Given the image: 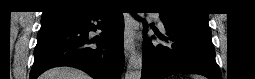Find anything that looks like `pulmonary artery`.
Masks as SVG:
<instances>
[{
    "instance_id": "pulmonary-artery-1",
    "label": "pulmonary artery",
    "mask_w": 255,
    "mask_h": 79,
    "mask_svg": "<svg viewBox=\"0 0 255 79\" xmlns=\"http://www.w3.org/2000/svg\"><path fill=\"white\" fill-rule=\"evenodd\" d=\"M157 23H158V26L161 28V29H164V25H163V22L160 18H157Z\"/></svg>"
}]
</instances>
